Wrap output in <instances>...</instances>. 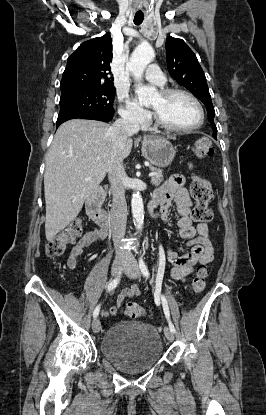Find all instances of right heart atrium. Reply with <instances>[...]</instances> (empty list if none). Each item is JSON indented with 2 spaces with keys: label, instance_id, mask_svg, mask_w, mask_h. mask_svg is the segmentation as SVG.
I'll use <instances>...</instances> for the list:
<instances>
[{
  "label": "right heart atrium",
  "instance_id": "d8ad5b80",
  "mask_svg": "<svg viewBox=\"0 0 266 415\" xmlns=\"http://www.w3.org/2000/svg\"><path fill=\"white\" fill-rule=\"evenodd\" d=\"M123 100V98H121ZM120 116L135 125L144 126L150 121V114L138 107L123 105L119 109Z\"/></svg>",
  "mask_w": 266,
  "mask_h": 415
}]
</instances>
